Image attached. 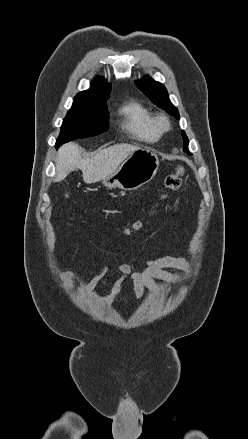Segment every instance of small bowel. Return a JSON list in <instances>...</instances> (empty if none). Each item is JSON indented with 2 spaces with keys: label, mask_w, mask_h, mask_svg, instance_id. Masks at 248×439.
Listing matches in <instances>:
<instances>
[{
  "label": "small bowel",
  "mask_w": 248,
  "mask_h": 439,
  "mask_svg": "<svg viewBox=\"0 0 248 439\" xmlns=\"http://www.w3.org/2000/svg\"><path fill=\"white\" fill-rule=\"evenodd\" d=\"M167 269H178L184 272H189L191 266L182 256H163L149 260L147 266L143 270H140L137 266L131 263L121 261L119 263L120 275L115 280L110 294L103 297V299L108 302L113 301L118 295L123 283L128 279L133 285L135 298H140L145 288L158 294H170L171 291L159 284L158 281L171 284H181L184 282V279L167 271ZM107 271L108 267L104 265L94 280L82 289V292L87 293L93 290L97 281L101 279ZM74 275L75 272L72 270L62 273V277L65 279L72 278Z\"/></svg>",
  "instance_id": "1"
}]
</instances>
